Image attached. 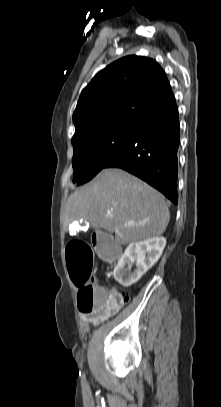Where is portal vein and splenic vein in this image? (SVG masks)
Returning <instances> with one entry per match:
<instances>
[{"label": "portal vein and splenic vein", "instance_id": "portal-vein-and-splenic-vein-1", "mask_svg": "<svg viewBox=\"0 0 221 407\" xmlns=\"http://www.w3.org/2000/svg\"><path fill=\"white\" fill-rule=\"evenodd\" d=\"M110 217H112V215H110ZM124 225L125 226H132L133 224L132 223H125Z\"/></svg>", "mask_w": 221, "mask_h": 407}]
</instances>
